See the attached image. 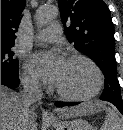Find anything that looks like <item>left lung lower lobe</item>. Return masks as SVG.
Segmentation results:
<instances>
[{
	"label": "left lung lower lobe",
	"mask_w": 123,
	"mask_h": 130,
	"mask_svg": "<svg viewBox=\"0 0 123 130\" xmlns=\"http://www.w3.org/2000/svg\"><path fill=\"white\" fill-rule=\"evenodd\" d=\"M76 104H79V103H62V102H56L55 105L57 107H63V106H73V105H76ZM118 110L123 114V108L121 107H117Z\"/></svg>",
	"instance_id": "0a47b994"
}]
</instances>
